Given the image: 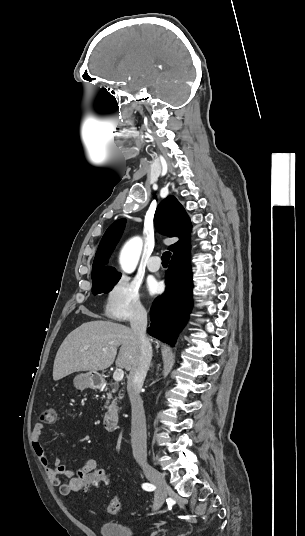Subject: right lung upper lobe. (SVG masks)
<instances>
[{"mask_svg": "<svg viewBox=\"0 0 305 536\" xmlns=\"http://www.w3.org/2000/svg\"><path fill=\"white\" fill-rule=\"evenodd\" d=\"M154 222L156 228L169 237L177 236L178 242L171 245L173 256H180L190 251V219L179 201L172 195L165 198L157 207ZM125 226V220L115 221L106 230L95 255L92 269V280L120 276L113 267H106L107 259L118 242Z\"/></svg>", "mask_w": 305, "mask_h": 536, "instance_id": "1", "label": "right lung upper lobe"}]
</instances>
